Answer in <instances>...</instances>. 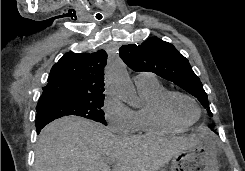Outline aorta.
<instances>
[{
  "instance_id": "762f6f07",
  "label": "aorta",
  "mask_w": 245,
  "mask_h": 171,
  "mask_svg": "<svg viewBox=\"0 0 245 171\" xmlns=\"http://www.w3.org/2000/svg\"><path fill=\"white\" fill-rule=\"evenodd\" d=\"M106 82L117 96L132 107H138L134 85L132 84L125 65L118 61L106 70Z\"/></svg>"
}]
</instances>
